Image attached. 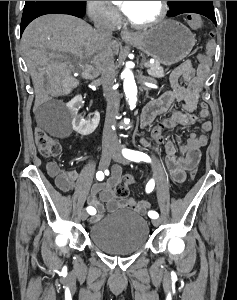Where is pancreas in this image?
I'll return each instance as SVG.
<instances>
[{
	"instance_id": "1",
	"label": "pancreas",
	"mask_w": 237,
	"mask_h": 300,
	"mask_svg": "<svg viewBox=\"0 0 237 300\" xmlns=\"http://www.w3.org/2000/svg\"><path fill=\"white\" fill-rule=\"evenodd\" d=\"M148 63V61H146ZM144 65H146L144 63ZM148 65H151V68H146L147 69V73L148 75H150V77H164V71H163V67H161L160 63H158V61H156V63H148Z\"/></svg>"
}]
</instances>
